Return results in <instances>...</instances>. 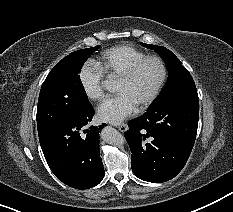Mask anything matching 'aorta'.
Wrapping results in <instances>:
<instances>
[{
  "label": "aorta",
  "instance_id": "aorta-1",
  "mask_svg": "<svg viewBox=\"0 0 233 212\" xmlns=\"http://www.w3.org/2000/svg\"><path fill=\"white\" fill-rule=\"evenodd\" d=\"M102 86L107 91H115V82L113 80H105L102 83ZM101 137L108 144L122 146L125 143V139L122 134L112 127H105L101 132Z\"/></svg>",
  "mask_w": 233,
  "mask_h": 212
}]
</instances>
